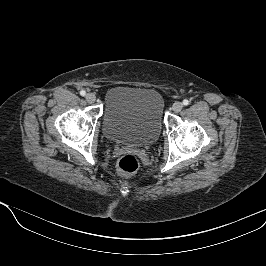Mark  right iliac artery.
<instances>
[{"label":"right iliac artery","mask_w":266,"mask_h":266,"mask_svg":"<svg viewBox=\"0 0 266 266\" xmlns=\"http://www.w3.org/2000/svg\"><path fill=\"white\" fill-rule=\"evenodd\" d=\"M80 95L81 96H85L86 95V92L84 90L80 91Z\"/></svg>","instance_id":"82829eb1"}]
</instances>
